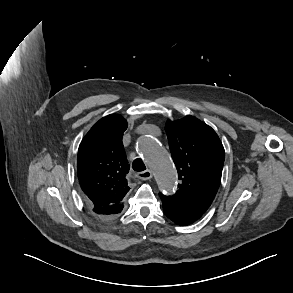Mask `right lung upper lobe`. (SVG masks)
I'll use <instances>...</instances> for the list:
<instances>
[{
  "instance_id": "1",
  "label": "right lung upper lobe",
  "mask_w": 293,
  "mask_h": 293,
  "mask_svg": "<svg viewBox=\"0 0 293 293\" xmlns=\"http://www.w3.org/2000/svg\"><path fill=\"white\" fill-rule=\"evenodd\" d=\"M127 122L119 115L99 120L87 133L78 151V178L88 206L100 208L123 204L129 191V165L122 145Z\"/></svg>"
}]
</instances>
